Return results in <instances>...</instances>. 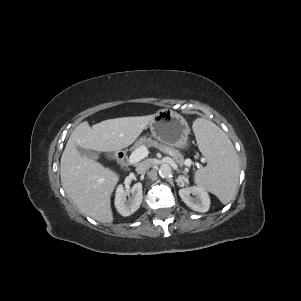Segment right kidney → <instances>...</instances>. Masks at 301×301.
<instances>
[{"mask_svg":"<svg viewBox=\"0 0 301 301\" xmlns=\"http://www.w3.org/2000/svg\"><path fill=\"white\" fill-rule=\"evenodd\" d=\"M142 184L136 183L129 192H125L122 185L116 189L115 207L122 216H130L136 212L142 203ZM131 194L128 198L127 195Z\"/></svg>","mask_w":301,"mask_h":301,"instance_id":"obj_1","label":"right kidney"}]
</instances>
